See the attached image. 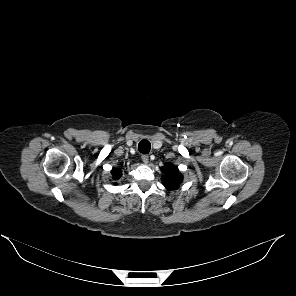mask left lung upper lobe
Masks as SVG:
<instances>
[{"mask_svg": "<svg viewBox=\"0 0 296 296\" xmlns=\"http://www.w3.org/2000/svg\"><path fill=\"white\" fill-rule=\"evenodd\" d=\"M161 171L164 173L162 177L163 185L168 188L169 190H173L178 188L182 182V175L179 173V170L176 166L169 163L164 165L161 168Z\"/></svg>", "mask_w": 296, "mask_h": 296, "instance_id": "5c2ea615", "label": "left lung upper lobe"}]
</instances>
